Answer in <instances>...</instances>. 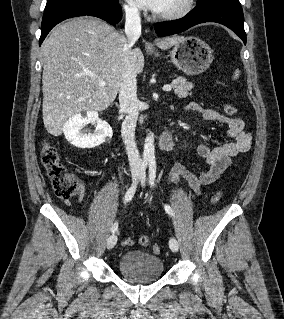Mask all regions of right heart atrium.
<instances>
[{"mask_svg": "<svg viewBox=\"0 0 284 319\" xmlns=\"http://www.w3.org/2000/svg\"><path fill=\"white\" fill-rule=\"evenodd\" d=\"M123 10L128 19L137 20L140 17L138 8L130 2H126L123 4Z\"/></svg>", "mask_w": 284, "mask_h": 319, "instance_id": "obj_1", "label": "right heart atrium"}]
</instances>
